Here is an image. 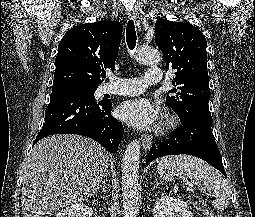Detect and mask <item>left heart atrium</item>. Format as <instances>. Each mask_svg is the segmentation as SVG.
Instances as JSON below:
<instances>
[{"label":"left heart atrium","instance_id":"left-heart-atrium-1","mask_svg":"<svg viewBox=\"0 0 255 217\" xmlns=\"http://www.w3.org/2000/svg\"><path fill=\"white\" fill-rule=\"evenodd\" d=\"M123 121L137 129H152L161 121V110L148 98H136L124 102L119 108Z\"/></svg>","mask_w":255,"mask_h":217}]
</instances>
